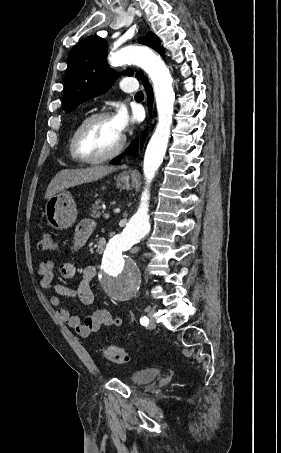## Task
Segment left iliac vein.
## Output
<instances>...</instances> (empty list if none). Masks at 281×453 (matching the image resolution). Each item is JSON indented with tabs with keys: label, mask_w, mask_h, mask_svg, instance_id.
I'll return each instance as SVG.
<instances>
[{
	"label": "left iliac vein",
	"mask_w": 281,
	"mask_h": 453,
	"mask_svg": "<svg viewBox=\"0 0 281 453\" xmlns=\"http://www.w3.org/2000/svg\"><path fill=\"white\" fill-rule=\"evenodd\" d=\"M153 314H154V311L150 310L149 314H148L150 316V323H148V328H150V330H152V328L154 327L155 322H156V317L152 316Z\"/></svg>",
	"instance_id": "1"
}]
</instances>
